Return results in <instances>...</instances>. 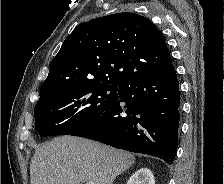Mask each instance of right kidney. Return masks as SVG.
I'll return each mask as SVG.
<instances>
[{
    "instance_id": "1",
    "label": "right kidney",
    "mask_w": 224,
    "mask_h": 184,
    "mask_svg": "<svg viewBox=\"0 0 224 184\" xmlns=\"http://www.w3.org/2000/svg\"><path fill=\"white\" fill-rule=\"evenodd\" d=\"M127 184H155V180L150 169L141 168L130 177Z\"/></svg>"
}]
</instances>
